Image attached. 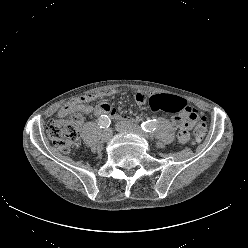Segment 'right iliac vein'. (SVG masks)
<instances>
[{
  "label": "right iliac vein",
  "mask_w": 248,
  "mask_h": 248,
  "mask_svg": "<svg viewBox=\"0 0 248 248\" xmlns=\"http://www.w3.org/2000/svg\"><path fill=\"white\" fill-rule=\"evenodd\" d=\"M112 137V132L110 129H106L103 131L102 133V140L107 142L110 140V138Z\"/></svg>",
  "instance_id": "obj_1"
}]
</instances>
